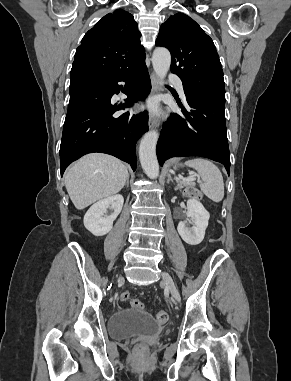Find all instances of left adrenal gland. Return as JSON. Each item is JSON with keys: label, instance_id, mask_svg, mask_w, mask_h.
Here are the masks:
<instances>
[{"label": "left adrenal gland", "instance_id": "obj_1", "mask_svg": "<svg viewBox=\"0 0 291 381\" xmlns=\"http://www.w3.org/2000/svg\"><path fill=\"white\" fill-rule=\"evenodd\" d=\"M176 181H177V179H176ZM170 182H173V179L171 177V174L168 173L167 183H170ZM177 189H181V186L179 184L175 187V190H177Z\"/></svg>", "mask_w": 291, "mask_h": 381}]
</instances>
